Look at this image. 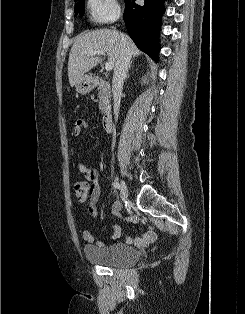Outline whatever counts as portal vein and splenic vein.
I'll list each match as a JSON object with an SVG mask.
<instances>
[{
  "mask_svg": "<svg viewBox=\"0 0 245 314\" xmlns=\"http://www.w3.org/2000/svg\"><path fill=\"white\" fill-rule=\"evenodd\" d=\"M89 56H93V55H105V52L102 50H94V51H90L88 53ZM114 67V62L113 61H108L105 63V70L106 71H110L112 70Z\"/></svg>",
  "mask_w": 245,
  "mask_h": 314,
  "instance_id": "portal-vein-and-splenic-vein-1",
  "label": "portal vein and splenic vein"
}]
</instances>
